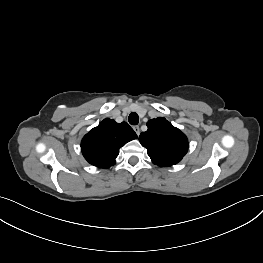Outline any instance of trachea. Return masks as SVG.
Returning a JSON list of instances; mask_svg holds the SVG:
<instances>
[{
  "instance_id": "obj_1",
  "label": "trachea",
  "mask_w": 263,
  "mask_h": 263,
  "mask_svg": "<svg viewBox=\"0 0 263 263\" xmlns=\"http://www.w3.org/2000/svg\"><path fill=\"white\" fill-rule=\"evenodd\" d=\"M128 121L131 125H137L139 122V117L138 114L135 112H132L129 117H128Z\"/></svg>"
}]
</instances>
